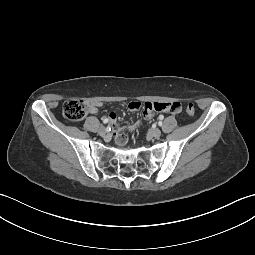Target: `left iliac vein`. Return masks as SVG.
Segmentation results:
<instances>
[{
	"label": "left iliac vein",
	"instance_id": "left-iliac-vein-1",
	"mask_svg": "<svg viewBox=\"0 0 255 255\" xmlns=\"http://www.w3.org/2000/svg\"><path fill=\"white\" fill-rule=\"evenodd\" d=\"M151 135L155 138H159L161 136V131L158 128H154L151 130Z\"/></svg>",
	"mask_w": 255,
	"mask_h": 255
}]
</instances>
